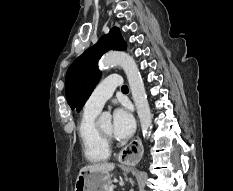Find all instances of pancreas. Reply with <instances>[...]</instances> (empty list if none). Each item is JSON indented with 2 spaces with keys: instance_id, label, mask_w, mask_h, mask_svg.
<instances>
[{
  "instance_id": "pancreas-1",
  "label": "pancreas",
  "mask_w": 233,
  "mask_h": 191,
  "mask_svg": "<svg viewBox=\"0 0 233 191\" xmlns=\"http://www.w3.org/2000/svg\"><path fill=\"white\" fill-rule=\"evenodd\" d=\"M107 191H113V186L110 185Z\"/></svg>"
}]
</instances>
